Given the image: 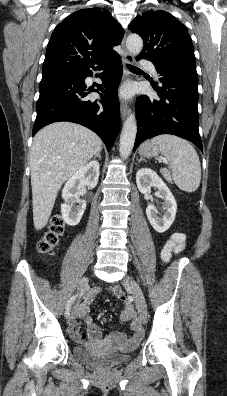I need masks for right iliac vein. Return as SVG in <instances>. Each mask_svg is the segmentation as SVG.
<instances>
[{"mask_svg":"<svg viewBox=\"0 0 227 396\" xmlns=\"http://www.w3.org/2000/svg\"><path fill=\"white\" fill-rule=\"evenodd\" d=\"M88 284V278L84 277L80 280L79 284H78V293H79V297L77 302L75 303V305L73 306V309L70 313L69 319H68V323L71 324L73 322V320L75 319V317L77 316L78 313V308H79V298L80 296L84 293L86 286Z\"/></svg>","mask_w":227,"mask_h":396,"instance_id":"1","label":"right iliac vein"}]
</instances>
